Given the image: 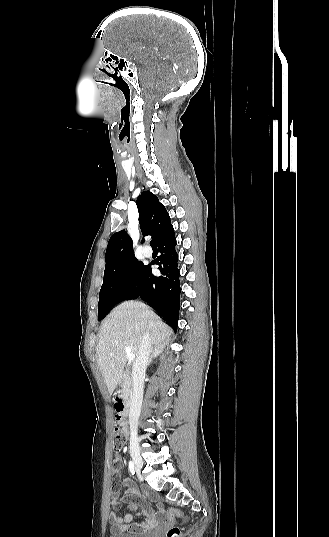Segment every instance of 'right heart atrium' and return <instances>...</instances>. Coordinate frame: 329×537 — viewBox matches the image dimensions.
Here are the masks:
<instances>
[{"label":"right heart atrium","instance_id":"obj_1","mask_svg":"<svg viewBox=\"0 0 329 537\" xmlns=\"http://www.w3.org/2000/svg\"><path fill=\"white\" fill-rule=\"evenodd\" d=\"M120 280L123 286L125 287L129 286L132 280L131 273L128 271L123 272L120 276Z\"/></svg>","mask_w":329,"mask_h":537}]
</instances>
